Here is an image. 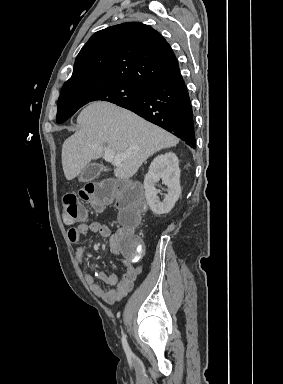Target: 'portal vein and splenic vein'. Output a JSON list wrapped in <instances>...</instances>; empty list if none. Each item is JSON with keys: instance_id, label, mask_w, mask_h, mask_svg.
<instances>
[{"instance_id": "portal-vein-and-splenic-vein-1", "label": "portal vein and splenic vein", "mask_w": 283, "mask_h": 384, "mask_svg": "<svg viewBox=\"0 0 283 384\" xmlns=\"http://www.w3.org/2000/svg\"><path fill=\"white\" fill-rule=\"evenodd\" d=\"M124 158H127V154H116L113 150H106L104 154V160H106V162H112V164H116V166L121 164Z\"/></svg>"}]
</instances>
